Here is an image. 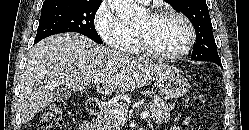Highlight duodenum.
I'll use <instances>...</instances> for the list:
<instances>
[{"label":"duodenum","mask_w":249,"mask_h":130,"mask_svg":"<svg viewBox=\"0 0 249 130\" xmlns=\"http://www.w3.org/2000/svg\"><path fill=\"white\" fill-rule=\"evenodd\" d=\"M85 109L88 118L83 121L78 130H96V123L91 118L98 116L102 112L101 102L95 97L89 98Z\"/></svg>","instance_id":"410a0bca"}]
</instances>
